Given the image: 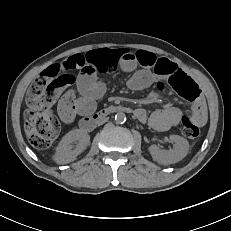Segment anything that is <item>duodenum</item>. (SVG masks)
<instances>
[{
    "mask_svg": "<svg viewBox=\"0 0 231 231\" xmlns=\"http://www.w3.org/2000/svg\"><path fill=\"white\" fill-rule=\"evenodd\" d=\"M116 113L132 114L135 117H137L139 114L138 110H135L125 105H111L83 118L80 122V129L85 132L92 131L98 125V122L102 118H109L111 115Z\"/></svg>",
    "mask_w": 231,
    "mask_h": 231,
    "instance_id": "410a0bca",
    "label": "duodenum"
}]
</instances>
